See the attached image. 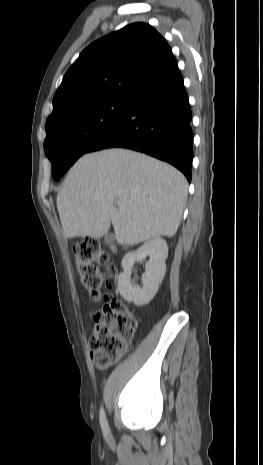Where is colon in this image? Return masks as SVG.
<instances>
[{
	"label": "colon",
	"instance_id": "obj_1",
	"mask_svg": "<svg viewBox=\"0 0 263 465\" xmlns=\"http://www.w3.org/2000/svg\"><path fill=\"white\" fill-rule=\"evenodd\" d=\"M76 270L85 289L93 297H98L103 284L113 286L115 278L108 266V255L96 238L77 244L74 247ZM107 268V276L101 272ZM137 322L122 301L108 297L103 308L94 316V325L89 339L91 358L98 368H106L115 363L133 339Z\"/></svg>",
	"mask_w": 263,
	"mask_h": 465
}]
</instances>
